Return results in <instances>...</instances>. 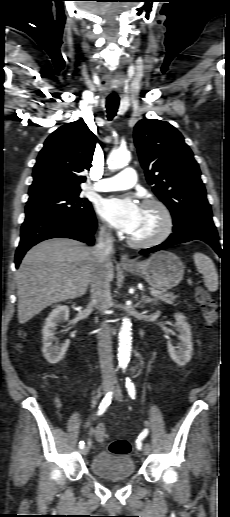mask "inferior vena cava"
Listing matches in <instances>:
<instances>
[{
    "label": "inferior vena cava",
    "instance_id": "1",
    "mask_svg": "<svg viewBox=\"0 0 230 517\" xmlns=\"http://www.w3.org/2000/svg\"><path fill=\"white\" fill-rule=\"evenodd\" d=\"M112 243L113 238L109 230L101 227L94 247L98 265L90 280L91 301L100 311L108 309L111 305L110 279L107 270L111 266ZM98 352L103 379L114 380L111 328L107 320L101 323L98 333Z\"/></svg>",
    "mask_w": 230,
    "mask_h": 517
}]
</instances>
